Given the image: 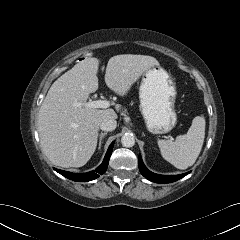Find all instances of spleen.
<instances>
[{
	"instance_id": "1",
	"label": "spleen",
	"mask_w": 240,
	"mask_h": 240,
	"mask_svg": "<svg viewBox=\"0 0 240 240\" xmlns=\"http://www.w3.org/2000/svg\"><path fill=\"white\" fill-rule=\"evenodd\" d=\"M205 138V118L196 116L188 132L175 141L158 140L162 157L178 169H187L197 160Z\"/></svg>"
}]
</instances>
